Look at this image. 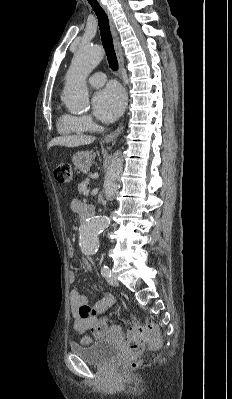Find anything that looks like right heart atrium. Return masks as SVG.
Listing matches in <instances>:
<instances>
[{"label": "right heart atrium", "mask_w": 232, "mask_h": 399, "mask_svg": "<svg viewBox=\"0 0 232 399\" xmlns=\"http://www.w3.org/2000/svg\"><path fill=\"white\" fill-rule=\"evenodd\" d=\"M68 104H75V103H68ZM80 120L82 121V123L87 127V128H92L94 126V123L91 119L90 116H83V117H79Z\"/></svg>", "instance_id": "right-heart-atrium-1"}]
</instances>
